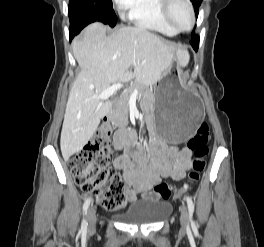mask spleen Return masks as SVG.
Segmentation results:
<instances>
[{
    "mask_svg": "<svg viewBox=\"0 0 264 247\" xmlns=\"http://www.w3.org/2000/svg\"><path fill=\"white\" fill-rule=\"evenodd\" d=\"M177 57H178V60H179V64L182 67H186L188 65L189 59H190L188 51H186V50H178L177 51Z\"/></svg>",
    "mask_w": 264,
    "mask_h": 247,
    "instance_id": "spleen-1",
    "label": "spleen"
}]
</instances>
